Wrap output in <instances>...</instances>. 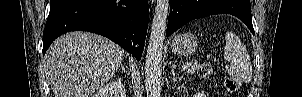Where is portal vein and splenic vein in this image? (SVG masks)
Returning <instances> with one entry per match:
<instances>
[{"mask_svg": "<svg viewBox=\"0 0 302 97\" xmlns=\"http://www.w3.org/2000/svg\"><path fill=\"white\" fill-rule=\"evenodd\" d=\"M192 65V62L186 63L185 65L182 66V71L186 70Z\"/></svg>", "mask_w": 302, "mask_h": 97, "instance_id": "portal-vein-and-splenic-vein-1", "label": "portal vein and splenic vein"}]
</instances>
